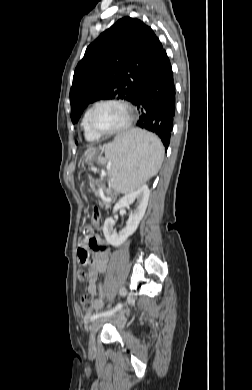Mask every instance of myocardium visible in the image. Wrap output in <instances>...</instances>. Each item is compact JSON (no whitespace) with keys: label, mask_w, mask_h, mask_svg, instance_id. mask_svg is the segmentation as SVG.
<instances>
[{"label":"myocardium","mask_w":252,"mask_h":390,"mask_svg":"<svg viewBox=\"0 0 252 390\" xmlns=\"http://www.w3.org/2000/svg\"><path fill=\"white\" fill-rule=\"evenodd\" d=\"M103 104H117L123 107L127 113L126 121L120 127L114 130L102 131L97 129L93 124V114L96 108ZM134 119H135V111L133 106L129 102L122 99L110 98V99L100 100L90 108L89 115H88V125L89 128L99 136H114L128 130L131 127L132 123L134 122Z\"/></svg>","instance_id":"myocardium-1"}]
</instances>
